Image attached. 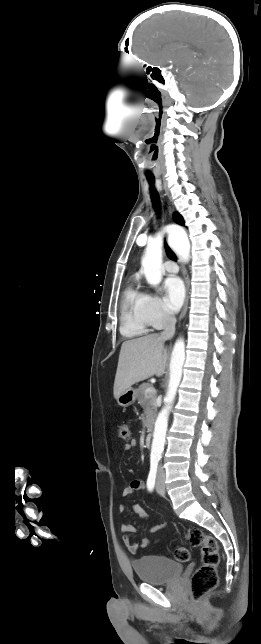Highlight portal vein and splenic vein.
Returning a JSON list of instances; mask_svg holds the SVG:
<instances>
[{"instance_id":"1","label":"portal vein and splenic vein","mask_w":261,"mask_h":644,"mask_svg":"<svg viewBox=\"0 0 261 644\" xmlns=\"http://www.w3.org/2000/svg\"><path fill=\"white\" fill-rule=\"evenodd\" d=\"M154 392H155V389L153 387H149L145 390V395L152 394Z\"/></svg>"}]
</instances>
